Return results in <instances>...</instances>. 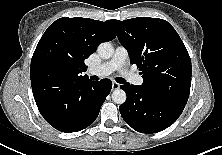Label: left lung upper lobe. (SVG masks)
Returning a JSON list of instances; mask_svg holds the SVG:
<instances>
[{
  "label": "left lung upper lobe",
  "mask_w": 222,
  "mask_h": 155,
  "mask_svg": "<svg viewBox=\"0 0 222 155\" xmlns=\"http://www.w3.org/2000/svg\"><path fill=\"white\" fill-rule=\"evenodd\" d=\"M112 23L131 64L140 70L141 87L186 104L191 86V59L172 25L150 17Z\"/></svg>",
  "instance_id": "left-lung-upper-lobe-1"
}]
</instances>
